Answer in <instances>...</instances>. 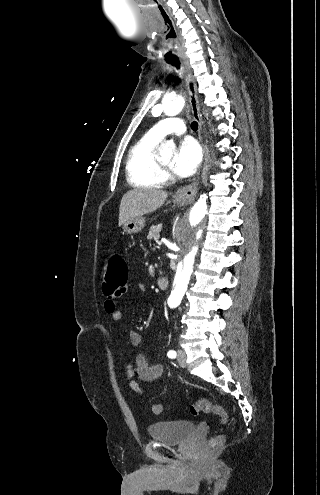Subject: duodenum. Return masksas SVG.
Masks as SVG:
<instances>
[{"instance_id": "1", "label": "duodenum", "mask_w": 320, "mask_h": 495, "mask_svg": "<svg viewBox=\"0 0 320 495\" xmlns=\"http://www.w3.org/2000/svg\"><path fill=\"white\" fill-rule=\"evenodd\" d=\"M169 286V279L167 277H160L158 279V287L162 290L167 289Z\"/></svg>"}]
</instances>
